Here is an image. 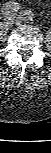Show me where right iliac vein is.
<instances>
[{
    "label": "right iliac vein",
    "mask_w": 51,
    "mask_h": 153,
    "mask_svg": "<svg viewBox=\"0 0 51 153\" xmlns=\"http://www.w3.org/2000/svg\"><path fill=\"white\" fill-rule=\"evenodd\" d=\"M15 23V17L14 16H8L4 19V25L6 27H12Z\"/></svg>",
    "instance_id": "obj_1"
}]
</instances>
